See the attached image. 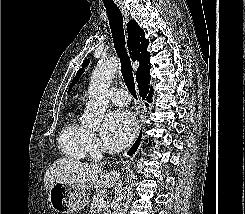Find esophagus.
I'll return each mask as SVG.
<instances>
[{"mask_svg":"<svg viewBox=\"0 0 245 214\" xmlns=\"http://www.w3.org/2000/svg\"><path fill=\"white\" fill-rule=\"evenodd\" d=\"M118 7L122 12L125 22H127L129 14H128L126 7L123 4H118ZM143 121H144L143 119L140 121V125L137 129L136 136L133 142L131 143V145L124 152L121 158L122 161H128L129 159L133 158L139 151L142 145V142L144 140V137H145V127H144Z\"/></svg>","mask_w":245,"mask_h":214,"instance_id":"esophagus-1","label":"esophagus"}]
</instances>
